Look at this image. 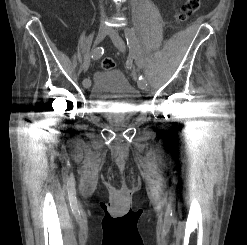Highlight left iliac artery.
<instances>
[{
  "label": "left iliac artery",
  "instance_id": "44dca946",
  "mask_svg": "<svg viewBox=\"0 0 247 245\" xmlns=\"http://www.w3.org/2000/svg\"><path fill=\"white\" fill-rule=\"evenodd\" d=\"M135 36L136 31H134L133 29H126L125 37L127 40V45L130 49V58H134L138 69H141L143 65V59L140 52V45H138L139 37ZM139 82H145L144 76L142 74L141 76H139Z\"/></svg>",
  "mask_w": 247,
  "mask_h": 245
}]
</instances>
